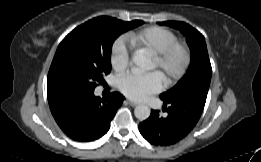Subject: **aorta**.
<instances>
[{
	"instance_id": "aorta-1",
	"label": "aorta",
	"mask_w": 261,
	"mask_h": 162,
	"mask_svg": "<svg viewBox=\"0 0 261 162\" xmlns=\"http://www.w3.org/2000/svg\"><path fill=\"white\" fill-rule=\"evenodd\" d=\"M132 62L137 67L138 70H145L148 68L150 60L147 56L143 54L142 51L138 50L134 53L132 57ZM150 108L146 105H138L134 109V114L140 121L146 120L150 116Z\"/></svg>"
}]
</instances>
